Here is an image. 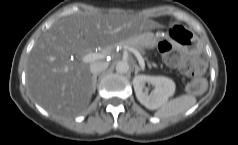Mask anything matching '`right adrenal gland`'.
<instances>
[{
  "label": "right adrenal gland",
  "mask_w": 238,
  "mask_h": 145,
  "mask_svg": "<svg viewBox=\"0 0 238 145\" xmlns=\"http://www.w3.org/2000/svg\"><path fill=\"white\" fill-rule=\"evenodd\" d=\"M97 76H98V75H94V76L92 77V78H93V93H94L95 90H96Z\"/></svg>",
  "instance_id": "obj_1"
}]
</instances>
